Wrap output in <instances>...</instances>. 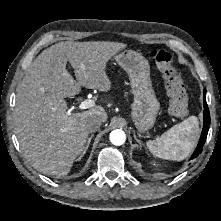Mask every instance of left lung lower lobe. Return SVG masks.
<instances>
[{
  "mask_svg": "<svg viewBox=\"0 0 221 221\" xmlns=\"http://www.w3.org/2000/svg\"><path fill=\"white\" fill-rule=\"evenodd\" d=\"M203 98H204V126H203V130H202L201 137H200V140L198 142L197 148L194 151V153L192 154L190 159L196 158L202 152V147H203V145L206 141V137H207L208 130H209L210 113H209L208 106H207V103H206L205 90L203 92Z\"/></svg>",
  "mask_w": 221,
  "mask_h": 221,
  "instance_id": "left-lung-lower-lobe-1",
  "label": "left lung lower lobe"
}]
</instances>
